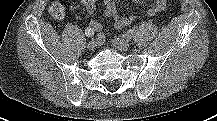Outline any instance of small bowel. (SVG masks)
Segmentation results:
<instances>
[{"mask_svg":"<svg viewBox=\"0 0 217 121\" xmlns=\"http://www.w3.org/2000/svg\"><path fill=\"white\" fill-rule=\"evenodd\" d=\"M82 5L85 7L87 12L90 15H93L96 12V2L97 0H80ZM134 2H141L143 0H132ZM154 4L147 11L149 16H154L157 13L163 11L166 7V0H153ZM104 12L103 15L106 18H111L114 22L113 26L116 30H120L125 28L135 20L134 16H121L118 13L116 7V0H103ZM72 6H75V3H72ZM89 28H91L94 32L98 33V37L100 40H104L106 34L102 30V25L97 20H91L89 23Z\"/></svg>","mask_w":217,"mask_h":121,"instance_id":"obj_1","label":"small bowel"}]
</instances>
